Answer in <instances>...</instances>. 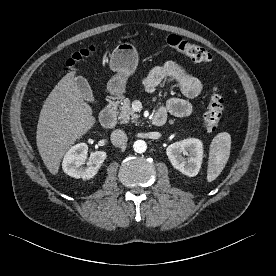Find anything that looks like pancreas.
Wrapping results in <instances>:
<instances>
[{"label":"pancreas","mask_w":276,"mask_h":276,"mask_svg":"<svg viewBox=\"0 0 276 276\" xmlns=\"http://www.w3.org/2000/svg\"><path fill=\"white\" fill-rule=\"evenodd\" d=\"M120 123L128 124V123H137L139 115L136 114L131 108L130 99L126 98L123 100L122 106L120 107V111L118 113Z\"/></svg>","instance_id":"cf45deb5"}]
</instances>
